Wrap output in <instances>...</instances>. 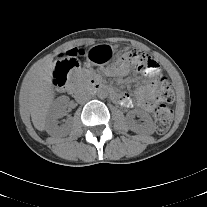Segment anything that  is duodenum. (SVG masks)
Masks as SVG:
<instances>
[{
	"label": "duodenum",
	"mask_w": 207,
	"mask_h": 207,
	"mask_svg": "<svg viewBox=\"0 0 207 207\" xmlns=\"http://www.w3.org/2000/svg\"><path fill=\"white\" fill-rule=\"evenodd\" d=\"M67 89L69 91H73L72 87H68ZM90 89L92 91H107L108 90V88L106 86H104L103 84H101L98 81H92L91 84H90ZM111 94L113 95V97L115 96L114 92H111Z\"/></svg>",
	"instance_id": "duodenum-1"
}]
</instances>
